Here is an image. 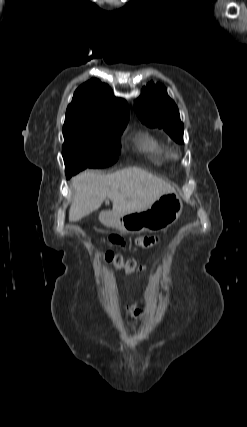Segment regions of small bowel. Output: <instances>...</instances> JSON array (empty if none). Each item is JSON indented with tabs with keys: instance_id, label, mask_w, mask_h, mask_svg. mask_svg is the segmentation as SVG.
I'll use <instances>...</instances> for the list:
<instances>
[{
	"instance_id": "c3829d8e",
	"label": "small bowel",
	"mask_w": 247,
	"mask_h": 427,
	"mask_svg": "<svg viewBox=\"0 0 247 427\" xmlns=\"http://www.w3.org/2000/svg\"><path fill=\"white\" fill-rule=\"evenodd\" d=\"M110 238H111V243L112 244H114L116 246H119V247H124V241L122 240V238H120L118 236H115L114 234H111ZM138 243L140 245H143V246H149L152 243H154V239H152V238L139 239ZM134 314L137 316V315L140 314V311L139 310H134Z\"/></svg>"
}]
</instances>
